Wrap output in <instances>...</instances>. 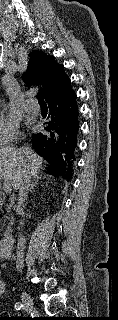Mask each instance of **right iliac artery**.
Here are the masks:
<instances>
[{
	"label": "right iliac artery",
	"instance_id": "right-iliac-artery-1",
	"mask_svg": "<svg viewBox=\"0 0 118 320\" xmlns=\"http://www.w3.org/2000/svg\"><path fill=\"white\" fill-rule=\"evenodd\" d=\"M22 308H23L22 303L17 302V303L15 304V309H16V310H21Z\"/></svg>",
	"mask_w": 118,
	"mask_h": 320
}]
</instances>
